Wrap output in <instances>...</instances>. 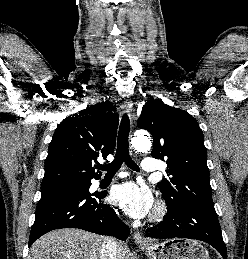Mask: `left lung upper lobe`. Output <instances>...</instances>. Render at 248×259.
<instances>
[{
  "label": "left lung upper lobe",
  "mask_w": 248,
  "mask_h": 259,
  "mask_svg": "<svg viewBox=\"0 0 248 259\" xmlns=\"http://www.w3.org/2000/svg\"><path fill=\"white\" fill-rule=\"evenodd\" d=\"M137 125L153 136L152 156L165 160L171 176L157 184L167 207L213 206L202 130L186 111L150 100Z\"/></svg>",
  "instance_id": "1"
}]
</instances>
